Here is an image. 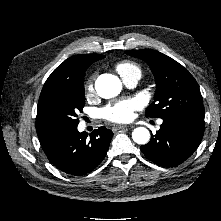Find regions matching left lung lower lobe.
Returning <instances> with one entry per match:
<instances>
[{
	"mask_svg": "<svg viewBox=\"0 0 221 221\" xmlns=\"http://www.w3.org/2000/svg\"><path fill=\"white\" fill-rule=\"evenodd\" d=\"M204 133V119L171 117L163 119L158 133L141 151L152 162L173 167L188 159L199 146Z\"/></svg>",
	"mask_w": 221,
	"mask_h": 221,
	"instance_id": "1",
	"label": "left lung lower lobe"
}]
</instances>
